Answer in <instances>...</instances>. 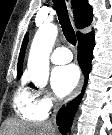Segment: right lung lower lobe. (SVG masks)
I'll use <instances>...</instances> for the list:
<instances>
[{
    "mask_svg": "<svg viewBox=\"0 0 112 135\" xmlns=\"http://www.w3.org/2000/svg\"><path fill=\"white\" fill-rule=\"evenodd\" d=\"M95 46L94 34L89 35L78 41V62L85 75V83L82 89L84 93L85 86L88 81V75L91 71V62L93 59V48ZM82 96L79 95L73 100L65 109H61L57 117V124L60 131L65 134V127H67L68 120L74 115Z\"/></svg>",
    "mask_w": 112,
    "mask_h": 135,
    "instance_id": "obj_1",
    "label": "right lung lower lobe"
}]
</instances>
